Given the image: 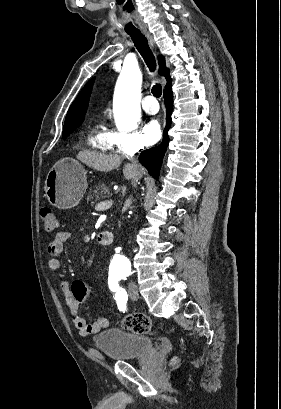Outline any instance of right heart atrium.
<instances>
[{
    "label": "right heart atrium",
    "instance_id": "obj_1",
    "mask_svg": "<svg viewBox=\"0 0 281 409\" xmlns=\"http://www.w3.org/2000/svg\"><path fill=\"white\" fill-rule=\"evenodd\" d=\"M125 118L122 131L111 132L112 142L115 147L128 152H136L145 147V143L138 133L140 115H122Z\"/></svg>",
    "mask_w": 281,
    "mask_h": 409
}]
</instances>
